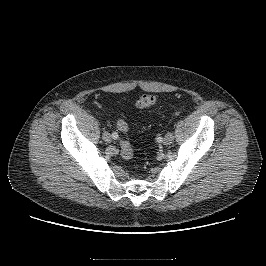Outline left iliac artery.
Masks as SVG:
<instances>
[{
  "label": "left iliac artery",
  "instance_id": "44dca946",
  "mask_svg": "<svg viewBox=\"0 0 266 266\" xmlns=\"http://www.w3.org/2000/svg\"><path fill=\"white\" fill-rule=\"evenodd\" d=\"M163 141H164V140H163V138H161V137H159V138L157 139V142L160 143V144L163 143Z\"/></svg>",
  "mask_w": 266,
  "mask_h": 266
}]
</instances>
